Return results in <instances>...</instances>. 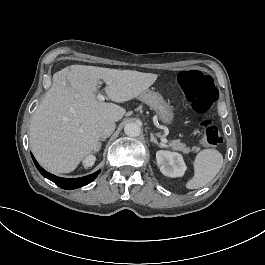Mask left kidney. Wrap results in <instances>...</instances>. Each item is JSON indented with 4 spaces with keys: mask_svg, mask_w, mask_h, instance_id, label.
<instances>
[{
    "mask_svg": "<svg viewBox=\"0 0 265 265\" xmlns=\"http://www.w3.org/2000/svg\"><path fill=\"white\" fill-rule=\"evenodd\" d=\"M157 162L161 164V172L170 177L181 176L186 166L180 154L168 151H158L156 154Z\"/></svg>",
    "mask_w": 265,
    "mask_h": 265,
    "instance_id": "5707ae66",
    "label": "left kidney"
}]
</instances>
